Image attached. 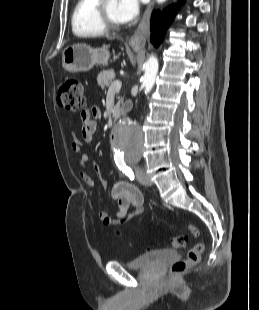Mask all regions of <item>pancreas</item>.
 I'll list each match as a JSON object with an SVG mask.
<instances>
[{"label":"pancreas","instance_id":"obj_1","mask_svg":"<svg viewBox=\"0 0 259 310\" xmlns=\"http://www.w3.org/2000/svg\"><path fill=\"white\" fill-rule=\"evenodd\" d=\"M115 78V73L112 70H108V71H103L101 72L98 77H97V82L98 85L102 88L105 89L106 87H110L111 84L113 83V80ZM123 102V99H119L115 110L116 112L119 110L120 108V104Z\"/></svg>","mask_w":259,"mask_h":310}]
</instances>
